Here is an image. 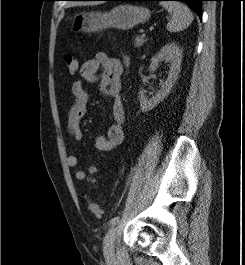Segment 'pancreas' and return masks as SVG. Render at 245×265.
<instances>
[{"mask_svg": "<svg viewBox=\"0 0 245 265\" xmlns=\"http://www.w3.org/2000/svg\"><path fill=\"white\" fill-rule=\"evenodd\" d=\"M144 42H146V39L140 35L136 36L135 39L133 40L134 47H141Z\"/></svg>", "mask_w": 245, "mask_h": 265, "instance_id": "1", "label": "pancreas"}]
</instances>
